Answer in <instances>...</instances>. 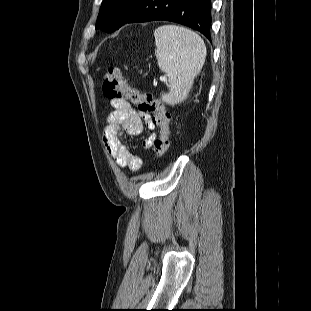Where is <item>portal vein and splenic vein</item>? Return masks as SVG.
<instances>
[{
	"label": "portal vein and splenic vein",
	"mask_w": 311,
	"mask_h": 311,
	"mask_svg": "<svg viewBox=\"0 0 311 311\" xmlns=\"http://www.w3.org/2000/svg\"><path fill=\"white\" fill-rule=\"evenodd\" d=\"M160 80L164 81V80H165V78H164V77H161V78H160Z\"/></svg>",
	"instance_id": "18ae733b"
}]
</instances>
